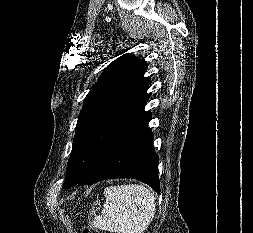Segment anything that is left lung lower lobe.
<instances>
[{"label": "left lung lower lobe", "instance_id": "1", "mask_svg": "<svg viewBox=\"0 0 253 233\" xmlns=\"http://www.w3.org/2000/svg\"><path fill=\"white\" fill-rule=\"evenodd\" d=\"M148 99L145 94L118 124L88 173L77 185L93 184L104 179L134 178L160 193L159 159L154 152L152 132L148 128L151 113L144 111Z\"/></svg>", "mask_w": 253, "mask_h": 233}]
</instances>
